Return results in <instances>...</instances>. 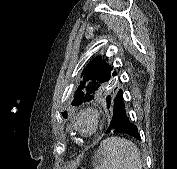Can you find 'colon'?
I'll list each match as a JSON object with an SVG mask.
<instances>
[{"instance_id": "1", "label": "colon", "mask_w": 177, "mask_h": 169, "mask_svg": "<svg viewBox=\"0 0 177 169\" xmlns=\"http://www.w3.org/2000/svg\"><path fill=\"white\" fill-rule=\"evenodd\" d=\"M73 169H85V168H83V167H75Z\"/></svg>"}]
</instances>
